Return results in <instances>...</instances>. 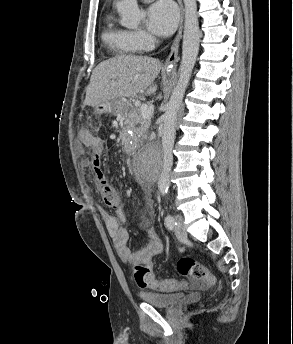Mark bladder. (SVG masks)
Masks as SVG:
<instances>
[{
  "label": "bladder",
  "instance_id": "obj_1",
  "mask_svg": "<svg viewBox=\"0 0 293 344\" xmlns=\"http://www.w3.org/2000/svg\"><path fill=\"white\" fill-rule=\"evenodd\" d=\"M143 300L153 307L173 309L183 303L186 296L181 293L146 292L143 295Z\"/></svg>",
  "mask_w": 293,
  "mask_h": 344
}]
</instances>
